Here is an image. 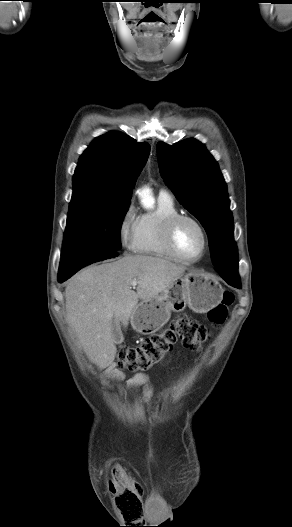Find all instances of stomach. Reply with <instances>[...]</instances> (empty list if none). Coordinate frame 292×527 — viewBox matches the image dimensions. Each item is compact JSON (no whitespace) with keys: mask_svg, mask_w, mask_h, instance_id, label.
<instances>
[{"mask_svg":"<svg viewBox=\"0 0 292 527\" xmlns=\"http://www.w3.org/2000/svg\"><path fill=\"white\" fill-rule=\"evenodd\" d=\"M223 292L213 277L189 272L158 296L142 301L132 313V328L141 334L155 333L168 322L171 311L181 312L187 306L207 313L222 301Z\"/></svg>","mask_w":292,"mask_h":527,"instance_id":"stomach-1","label":"stomach"}]
</instances>
